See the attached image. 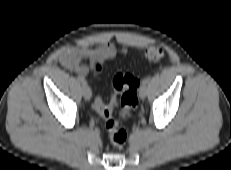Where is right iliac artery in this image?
Returning a JSON list of instances; mask_svg holds the SVG:
<instances>
[{"mask_svg": "<svg viewBox=\"0 0 231 170\" xmlns=\"http://www.w3.org/2000/svg\"><path fill=\"white\" fill-rule=\"evenodd\" d=\"M78 79L83 85H87V82L83 77H78Z\"/></svg>", "mask_w": 231, "mask_h": 170, "instance_id": "82829eb1", "label": "right iliac artery"}]
</instances>
